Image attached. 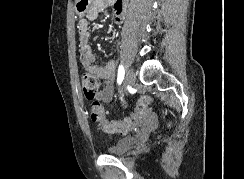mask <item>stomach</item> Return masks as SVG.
Returning <instances> with one entry per match:
<instances>
[{
    "label": "stomach",
    "instance_id": "stomach-1",
    "mask_svg": "<svg viewBox=\"0 0 244 179\" xmlns=\"http://www.w3.org/2000/svg\"><path fill=\"white\" fill-rule=\"evenodd\" d=\"M88 4H90V0H76V8H81V9L77 10L78 18L84 17V13H85V10H86ZM83 6H84V8H83Z\"/></svg>",
    "mask_w": 244,
    "mask_h": 179
}]
</instances>
